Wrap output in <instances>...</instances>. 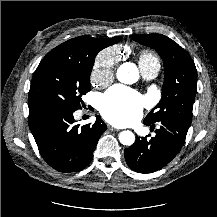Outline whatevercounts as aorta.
Instances as JSON below:
<instances>
[{"mask_svg":"<svg viewBox=\"0 0 217 217\" xmlns=\"http://www.w3.org/2000/svg\"><path fill=\"white\" fill-rule=\"evenodd\" d=\"M139 78V71L134 63L126 62L120 65L117 70V79L124 84H133ZM119 141L123 145L131 146L135 142V135L129 131H122L119 134Z\"/></svg>","mask_w":217,"mask_h":217,"instance_id":"1","label":"aorta"}]
</instances>
